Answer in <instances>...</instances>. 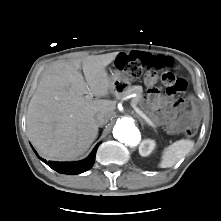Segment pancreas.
<instances>
[{
  "label": "pancreas",
  "mask_w": 221,
  "mask_h": 221,
  "mask_svg": "<svg viewBox=\"0 0 221 221\" xmlns=\"http://www.w3.org/2000/svg\"><path fill=\"white\" fill-rule=\"evenodd\" d=\"M131 93H136L137 96L135 98L132 99V102L134 104H141L142 102V87L141 86H133V87H130L128 88L123 95H126V94H131ZM151 121V119H150ZM152 122V121H151Z\"/></svg>",
  "instance_id": "pancreas-1"
}]
</instances>
